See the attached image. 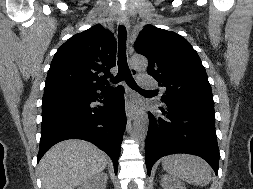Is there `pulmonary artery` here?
Instances as JSON below:
<instances>
[{"label": "pulmonary artery", "mask_w": 253, "mask_h": 189, "mask_svg": "<svg viewBox=\"0 0 253 189\" xmlns=\"http://www.w3.org/2000/svg\"><path fill=\"white\" fill-rule=\"evenodd\" d=\"M139 82L142 86L153 88L156 86L154 79L150 75H140Z\"/></svg>", "instance_id": "1"}]
</instances>
